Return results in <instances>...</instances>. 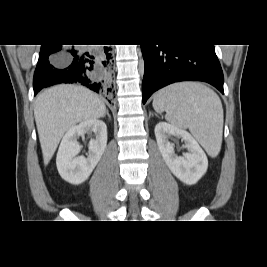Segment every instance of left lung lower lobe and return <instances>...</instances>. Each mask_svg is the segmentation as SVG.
<instances>
[{
    "label": "left lung lower lobe",
    "instance_id": "1",
    "mask_svg": "<svg viewBox=\"0 0 267 267\" xmlns=\"http://www.w3.org/2000/svg\"><path fill=\"white\" fill-rule=\"evenodd\" d=\"M145 62L143 104L158 89L179 81H204L223 92V72L214 45H141Z\"/></svg>",
    "mask_w": 267,
    "mask_h": 267
}]
</instances>
